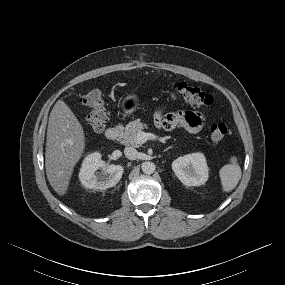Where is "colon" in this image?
<instances>
[{
  "label": "colon",
  "mask_w": 285,
  "mask_h": 285,
  "mask_svg": "<svg viewBox=\"0 0 285 285\" xmlns=\"http://www.w3.org/2000/svg\"><path fill=\"white\" fill-rule=\"evenodd\" d=\"M173 91L174 96L179 97L192 107H204L213 103V97L210 93L186 83L175 84ZM80 100L90 109L85 119L88 128L94 132L103 131L108 121V111L101 91L96 88H89L80 96ZM227 134L228 127L223 123L213 124L209 132L210 139L215 144L222 142Z\"/></svg>",
  "instance_id": "obj_1"
}]
</instances>
